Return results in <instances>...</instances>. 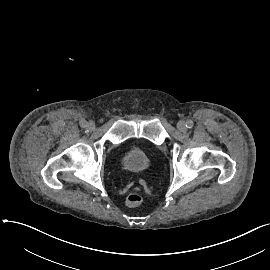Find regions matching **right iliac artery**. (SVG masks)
<instances>
[{
    "label": "right iliac artery",
    "mask_w": 270,
    "mask_h": 270,
    "mask_svg": "<svg viewBox=\"0 0 270 270\" xmlns=\"http://www.w3.org/2000/svg\"><path fill=\"white\" fill-rule=\"evenodd\" d=\"M80 126H81L82 128L87 127V122H86L85 120H82V121L80 122Z\"/></svg>",
    "instance_id": "right-iliac-artery-1"
}]
</instances>
